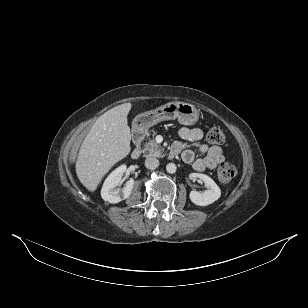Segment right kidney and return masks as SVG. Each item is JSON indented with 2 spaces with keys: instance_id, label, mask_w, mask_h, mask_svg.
Here are the masks:
<instances>
[{
  "instance_id": "ca27d5eb",
  "label": "right kidney",
  "mask_w": 308,
  "mask_h": 308,
  "mask_svg": "<svg viewBox=\"0 0 308 308\" xmlns=\"http://www.w3.org/2000/svg\"><path fill=\"white\" fill-rule=\"evenodd\" d=\"M125 171L126 166L121 165L106 178L101 189V196L104 201L115 204L127 199L130 196L134 185L133 179L127 181L122 189L116 188V186L120 184L121 178Z\"/></svg>"
}]
</instances>
